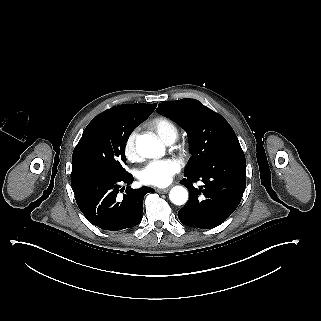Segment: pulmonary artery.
<instances>
[{
  "label": "pulmonary artery",
  "mask_w": 321,
  "mask_h": 321,
  "mask_svg": "<svg viewBox=\"0 0 321 321\" xmlns=\"http://www.w3.org/2000/svg\"><path fill=\"white\" fill-rule=\"evenodd\" d=\"M173 141H174V140L171 139V140H169L167 143H168V144H171Z\"/></svg>",
  "instance_id": "obj_1"
}]
</instances>
